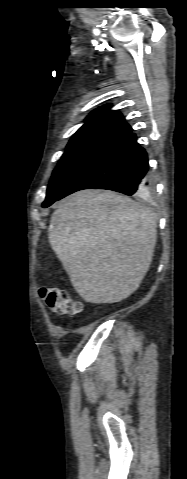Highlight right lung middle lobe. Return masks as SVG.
<instances>
[{
    "instance_id": "obj_1",
    "label": "right lung middle lobe",
    "mask_w": 187,
    "mask_h": 479,
    "mask_svg": "<svg viewBox=\"0 0 187 479\" xmlns=\"http://www.w3.org/2000/svg\"><path fill=\"white\" fill-rule=\"evenodd\" d=\"M127 135L125 132L105 127L79 129L72 136L53 172L42 206H50L73 179Z\"/></svg>"
}]
</instances>
